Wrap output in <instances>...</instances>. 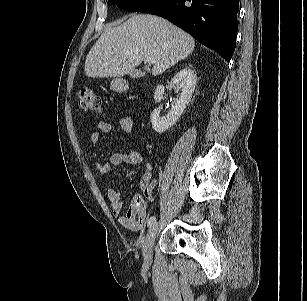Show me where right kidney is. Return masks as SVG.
Returning <instances> with one entry per match:
<instances>
[{"label":"right kidney","instance_id":"1","mask_svg":"<svg viewBox=\"0 0 307 301\" xmlns=\"http://www.w3.org/2000/svg\"><path fill=\"white\" fill-rule=\"evenodd\" d=\"M171 83L175 86L176 93L179 90L181 92L179 93V99L175 102L174 108L165 117H160V111L158 109L152 112L150 120L153 129L157 133H163L172 127L184 112L186 106L191 101L196 86V74L191 68L185 67L172 78ZM164 91L165 88L163 85L157 86L154 93L155 102H161Z\"/></svg>","mask_w":307,"mask_h":301}]
</instances>
